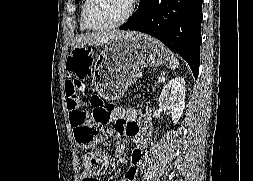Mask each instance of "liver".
<instances>
[{
	"instance_id": "1",
	"label": "liver",
	"mask_w": 253,
	"mask_h": 181,
	"mask_svg": "<svg viewBox=\"0 0 253 181\" xmlns=\"http://www.w3.org/2000/svg\"><path fill=\"white\" fill-rule=\"evenodd\" d=\"M133 31H96L92 33L82 34L72 42V47L77 48L85 45H103L111 40L118 38H128L136 35Z\"/></svg>"
}]
</instances>
